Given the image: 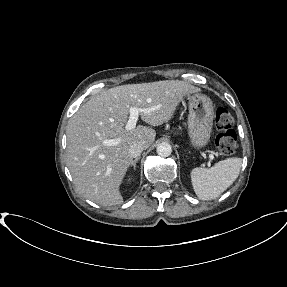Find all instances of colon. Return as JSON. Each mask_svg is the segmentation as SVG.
<instances>
[{"mask_svg":"<svg viewBox=\"0 0 287 287\" xmlns=\"http://www.w3.org/2000/svg\"><path fill=\"white\" fill-rule=\"evenodd\" d=\"M233 117L223 106L215 109V125L219 130L216 136L215 144L223 155H231L236 151L237 135L232 129Z\"/></svg>","mask_w":287,"mask_h":287,"instance_id":"colon-1","label":"colon"}]
</instances>
